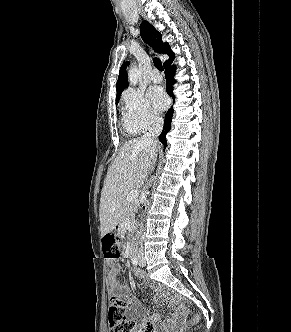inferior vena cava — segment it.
<instances>
[{
	"instance_id": "inferior-vena-cava-1",
	"label": "inferior vena cava",
	"mask_w": 291,
	"mask_h": 332,
	"mask_svg": "<svg viewBox=\"0 0 291 332\" xmlns=\"http://www.w3.org/2000/svg\"><path fill=\"white\" fill-rule=\"evenodd\" d=\"M163 129V119L155 117L151 120L148 131L141 137V142L150 150L151 155V169L153 170V165L156 162V152L155 149L157 147V137L160 135ZM149 186V183H148ZM146 186V188H148ZM139 253L143 254V245L140 240V249Z\"/></svg>"
}]
</instances>
